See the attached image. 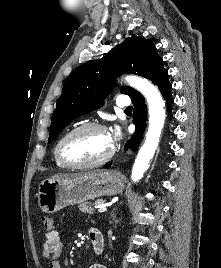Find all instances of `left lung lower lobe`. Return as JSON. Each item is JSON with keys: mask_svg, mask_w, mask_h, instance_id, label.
Listing matches in <instances>:
<instances>
[{"mask_svg": "<svg viewBox=\"0 0 221 268\" xmlns=\"http://www.w3.org/2000/svg\"><path fill=\"white\" fill-rule=\"evenodd\" d=\"M157 86L162 96L166 100L168 113H169V119H171L172 117L171 105H172L173 99L171 96V84L168 81V77L163 79ZM131 100L134 105L133 123L135 124L136 128H135V133L127 142V146L125 147V149H131L133 151H136L141 141V138L143 136L144 130H145L147 107L145 104V100L141 94ZM111 164L112 162H109L105 165V167L107 168Z\"/></svg>", "mask_w": 221, "mask_h": 268, "instance_id": "left-lung-lower-lobe-1", "label": "left lung lower lobe"}]
</instances>
